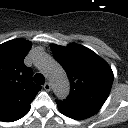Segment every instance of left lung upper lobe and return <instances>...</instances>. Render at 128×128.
Segmentation results:
<instances>
[{
	"label": "left lung upper lobe",
	"mask_w": 128,
	"mask_h": 128,
	"mask_svg": "<svg viewBox=\"0 0 128 128\" xmlns=\"http://www.w3.org/2000/svg\"><path fill=\"white\" fill-rule=\"evenodd\" d=\"M54 58L70 80L67 102L101 108L113 83L110 66L92 50L72 43L67 47L52 45Z\"/></svg>",
	"instance_id": "1"
}]
</instances>
